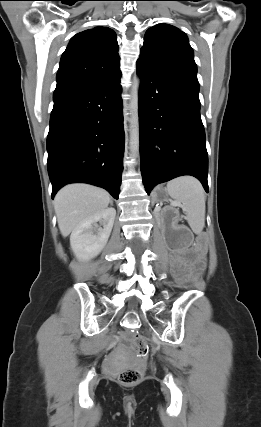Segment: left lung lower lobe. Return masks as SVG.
Wrapping results in <instances>:
<instances>
[{
	"label": "left lung lower lobe",
	"instance_id": "obj_1",
	"mask_svg": "<svg viewBox=\"0 0 261 427\" xmlns=\"http://www.w3.org/2000/svg\"><path fill=\"white\" fill-rule=\"evenodd\" d=\"M141 173L146 192L182 175L208 192V155L196 76L137 60Z\"/></svg>",
	"mask_w": 261,
	"mask_h": 427
}]
</instances>
